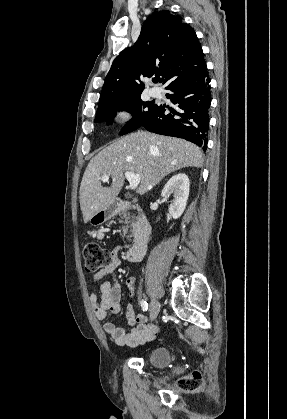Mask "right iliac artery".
Here are the masks:
<instances>
[{"instance_id": "82829eb1", "label": "right iliac artery", "mask_w": 287, "mask_h": 419, "mask_svg": "<svg viewBox=\"0 0 287 419\" xmlns=\"http://www.w3.org/2000/svg\"><path fill=\"white\" fill-rule=\"evenodd\" d=\"M140 304H141V307H142V310L143 311H147L148 310V304H147V302L145 300H142L140 302Z\"/></svg>"}]
</instances>
